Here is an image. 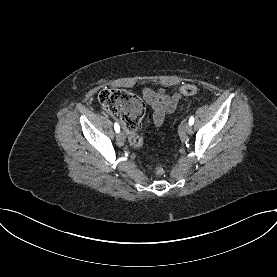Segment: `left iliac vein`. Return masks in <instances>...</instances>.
<instances>
[{
  "label": "left iliac vein",
  "instance_id": "4c4485c4",
  "mask_svg": "<svg viewBox=\"0 0 277 277\" xmlns=\"http://www.w3.org/2000/svg\"><path fill=\"white\" fill-rule=\"evenodd\" d=\"M181 129L183 132L190 134L192 132V127L188 122L183 123V125L181 126Z\"/></svg>",
  "mask_w": 277,
  "mask_h": 277
}]
</instances>
